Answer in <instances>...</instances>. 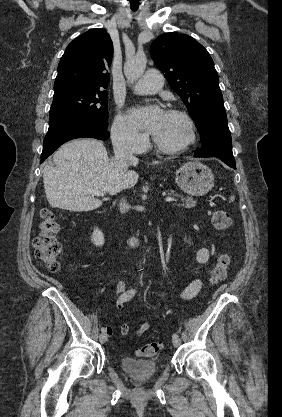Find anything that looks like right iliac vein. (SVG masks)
<instances>
[{
  "instance_id": "right-iliac-vein-1",
  "label": "right iliac vein",
  "mask_w": 282,
  "mask_h": 417,
  "mask_svg": "<svg viewBox=\"0 0 282 417\" xmlns=\"http://www.w3.org/2000/svg\"><path fill=\"white\" fill-rule=\"evenodd\" d=\"M99 340L101 343H105L107 341V335L105 333H102L99 337Z\"/></svg>"
}]
</instances>
